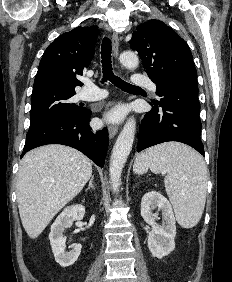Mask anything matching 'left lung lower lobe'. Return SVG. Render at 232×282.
Instances as JSON below:
<instances>
[{"label":"left lung lower lobe","instance_id":"1","mask_svg":"<svg viewBox=\"0 0 232 282\" xmlns=\"http://www.w3.org/2000/svg\"><path fill=\"white\" fill-rule=\"evenodd\" d=\"M156 87L159 99L152 100L153 109L142 119L137 151L163 142L178 141L204 155V145L200 138L202 125L198 87Z\"/></svg>","mask_w":232,"mask_h":282}]
</instances>
